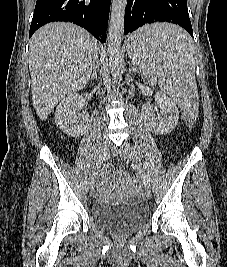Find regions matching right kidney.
Segmentation results:
<instances>
[{"label":"right kidney","mask_w":227,"mask_h":267,"mask_svg":"<svg viewBox=\"0 0 227 267\" xmlns=\"http://www.w3.org/2000/svg\"><path fill=\"white\" fill-rule=\"evenodd\" d=\"M81 101L82 95L78 93L68 95L59 103L54 115L56 125L71 137L82 136L90 120L87 112H78Z\"/></svg>","instance_id":"right-kidney-1"}]
</instances>
